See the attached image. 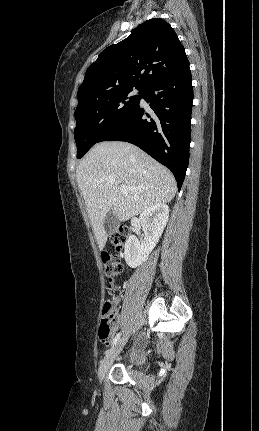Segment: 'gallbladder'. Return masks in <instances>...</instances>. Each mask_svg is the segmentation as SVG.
I'll use <instances>...</instances> for the list:
<instances>
[{
  "mask_svg": "<svg viewBox=\"0 0 259 431\" xmlns=\"http://www.w3.org/2000/svg\"><path fill=\"white\" fill-rule=\"evenodd\" d=\"M119 223H120V221H119L118 217L116 216V214H114L112 211L109 212V214L107 215V217L103 223V228H104V231L106 232V234L112 235L116 231Z\"/></svg>",
  "mask_w": 259,
  "mask_h": 431,
  "instance_id": "obj_1",
  "label": "gallbladder"
}]
</instances>
